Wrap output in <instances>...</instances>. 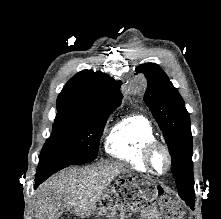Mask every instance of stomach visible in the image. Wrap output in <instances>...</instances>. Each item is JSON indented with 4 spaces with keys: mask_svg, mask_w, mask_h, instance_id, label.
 <instances>
[{
    "mask_svg": "<svg viewBox=\"0 0 221 219\" xmlns=\"http://www.w3.org/2000/svg\"><path fill=\"white\" fill-rule=\"evenodd\" d=\"M152 195H156V199H165V195H169V190H152Z\"/></svg>",
    "mask_w": 221,
    "mask_h": 219,
    "instance_id": "stomach-1",
    "label": "stomach"
}]
</instances>
